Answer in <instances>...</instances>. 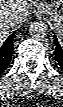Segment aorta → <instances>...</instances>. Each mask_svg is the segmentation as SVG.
I'll return each instance as SVG.
<instances>
[{
    "instance_id": "1",
    "label": "aorta",
    "mask_w": 63,
    "mask_h": 107,
    "mask_svg": "<svg viewBox=\"0 0 63 107\" xmlns=\"http://www.w3.org/2000/svg\"><path fill=\"white\" fill-rule=\"evenodd\" d=\"M29 34L32 38L43 39L47 34V27L43 22H33L29 25Z\"/></svg>"
}]
</instances>
